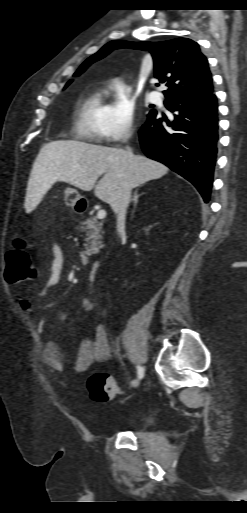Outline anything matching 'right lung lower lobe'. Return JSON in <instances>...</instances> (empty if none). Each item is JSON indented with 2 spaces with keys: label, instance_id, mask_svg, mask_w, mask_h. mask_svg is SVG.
<instances>
[{
  "label": "right lung lower lobe",
  "instance_id": "1",
  "mask_svg": "<svg viewBox=\"0 0 247 513\" xmlns=\"http://www.w3.org/2000/svg\"><path fill=\"white\" fill-rule=\"evenodd\" d=\"M169 122L155 111L139 131L149 158L164 163L189 180L207 203L210 198L218 141V105L214 91L207 96L168 97ZM167 122L165 125L162 122Z\"/></svg>",
  "mask_w": 247,
  "mask_h": 513
}]
</instances>
